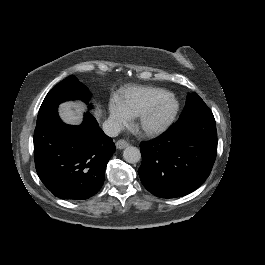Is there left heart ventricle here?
Returning a JSON list of instances; mask_svg holds the SVG:
<instances>
[{"instance_id":"b2bd125f","label":"left heart ventricle","mask_w":265,"mask_h":265,"mask_svg":"<svg viewBox=\"0 0 265 265\" xmlns=\"http://www.w3.org/2000/svg\"><path fill=\"white\" fill-rule=\"evenodd\" d=\"M174 107V102L169 95L161 94L157 96L149 114V120L155 121L169 113Z\"/></svg>"}]
</instances>
